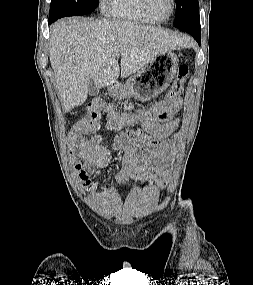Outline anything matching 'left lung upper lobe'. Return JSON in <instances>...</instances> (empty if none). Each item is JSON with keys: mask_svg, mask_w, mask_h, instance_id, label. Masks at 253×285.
I'll use <instances>...</instances> for the list:
<instances>
[{"mask_svg": "<svg viewBox=\"0 0 253 285\" xmlns=\"http://www.w3.org/2000/svg\"><path fill=\"white\" fill-rule=\"evenodd\" d=\"M200 19L198 0H176V15L174 25L181 28Z\"/></svg>", "mask_w": 253, "mask_h": 285, "instance_id": "1", "label": "left lung upper lobe"}]
</instances>
